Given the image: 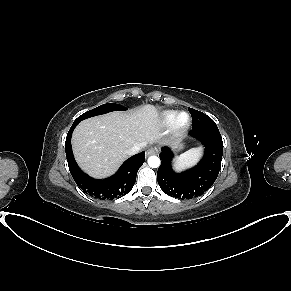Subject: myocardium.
I'll list each match as a JSON object with an SVG mask.
<instances>
[{
    "label": "myocardium",
    "instance_id": "myocardium-1",
    "mask_svg": "<svg viewBox=\"0 0 291 291\" xmlns=\"http://www.w3.org/2000/svg\"><path fill=\"white\" fill-rule=\"evenodd\" d=\"M185 115L186 116V121L181 123L179 121V118ZM191 123V117L190 114L186 111H180V112H176V114L174 115V118L171 122V132L175 135H180L183 134L190 126Z\"/></svg>",
    "mask_w": 291,
    "mask_h": 291
}]
</instances>
